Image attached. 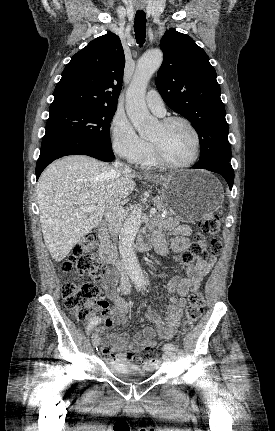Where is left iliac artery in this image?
I'll return each instance as SVG.
<instances>
[{
    "instance_id": "1",
    "label": "left iliac artery",
    "mask_w": 275,
    "mask_h": 431,
    "mask_svg": "<svg viewBox=\"0 0 275 431\" xmlns=\"http://www.w3.org/2000/svg\"><path fill=\"white\" fill-rule=\"evenodd\" d=\"M163 350H164V351H171V352H174V351H176V350H177V348H176V346H175L174 344H172V343H167V344H165V345H164Z\"/></svg>"
}]
</instances>
